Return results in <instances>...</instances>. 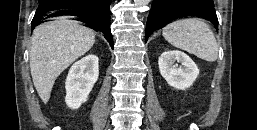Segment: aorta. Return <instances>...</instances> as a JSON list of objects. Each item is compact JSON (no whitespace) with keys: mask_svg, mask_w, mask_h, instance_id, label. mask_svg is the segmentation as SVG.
I'll return each mask as SVG.
<instances>
[{"mask_svg":"<svg viewBox=\"0 0 257 130\" xmlns=\"http://www.w3.org/2000/svg\"><path fill=\"white\" fill-rule=\"evenodd\" d=\"M134 2L136 5H143L147 3V0H135Z\"/></svg>","mask_w":257,"mask_h":130,"instance_id":"obj_1","label":"aorta"}]
</instances>
